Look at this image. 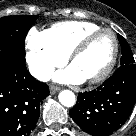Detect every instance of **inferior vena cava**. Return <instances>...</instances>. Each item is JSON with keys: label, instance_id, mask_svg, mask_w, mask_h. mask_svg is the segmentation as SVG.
I'll return each mask as SVG.
<instances>
[{"label": "inferior vena cava", "instance_id": "602c4592", "mask_svg": "<svg viewBox=\"0 0 136 136\" xmlns=\"http://www.w3.org/2000/svg\"><path fill=\"white\" fill-rule=\"evenodd\" d=\"M30 73L40 81H47L50 78L52 70L42 67H30Z\"/></svg>", "mask_w": 136, "mask_h": 136}]
</instances>
